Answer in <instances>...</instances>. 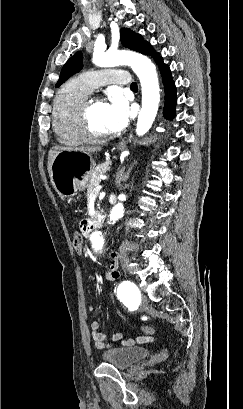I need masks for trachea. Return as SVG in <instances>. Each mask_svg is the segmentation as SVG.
I'll return each mask as SVG.
<instances>
[{
	"label": "trachea",
	"instance_id": "trachea-1",
	"mask_svg": "<svg viewBox=\"0 0 243 409\" xmlns=\"http://www.w3.org/2000/svg\"><path fill=\"white\" fill-rule=\"evenodd\" d=\"M138 86H137V83L136 82H133L132 84H131V88L132 89H135V88H137Z\"/></svg>",
	"mask_w": 243,
	"mask_h": 409
}]
</instances>
